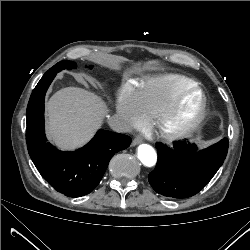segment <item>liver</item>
Listing matches in <instances>:
<instances>
[{
  "instance_id": "1",
  "label": "liver",
  "mask_w": 250,
  "mask_h": 250,
  "mask_svg": "<svg viewBox=\"0 0 250 250\" xmlns=\"http://www.w3.org/2000/svg\"><path fill=\"white\" fill-rule=\"evenodd\" d=\"M47 133L64 150L88 142L101 126L107 106L96 94L78 87L57 91L47 102Z\"/></svg>"
}]
</instances>
